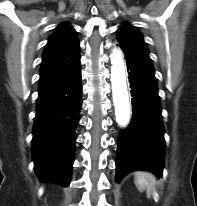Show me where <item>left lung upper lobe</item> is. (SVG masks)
I'll list each match as a JSON object with an SVG mask.
<instances>
[{
  "mask_svg": "<svg viewBox=\"0 0 197 206\" xmlns=\"http://www.w3.org/2000/svg\"><path fill=\"white\" fill-rule=\"evenodd\" d=\"M117 41L125 54L154 74L146 43L143 40L142 34L134 26L123 24L117 30Z\"/></svg>",
  "mask_w": 197,
  "mask_h": 206,
  "instance_id": "obj_1",
  "label": "left lung upper lobe"
}]
</instances>
